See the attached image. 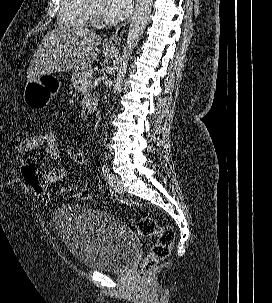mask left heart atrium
I'll list each match as a JSON object with an SVG mask.
<instances>
[{
	"instance_id": "obj_1",
	"label": "left heart atrium",
	"mask_w": 272,
	"mask_h": 303,
	"mask_svg": "<svg viewBox=\"0 0 272 303\" xmlns=\"http://www.w3.org/2000/svg\"><path fill=\"white\" fill-rule=\"evenodd\" d=\"M131 0H104L102 14L110 21L124 19L131 10Z\"/></svg>"
}]
</instances>
